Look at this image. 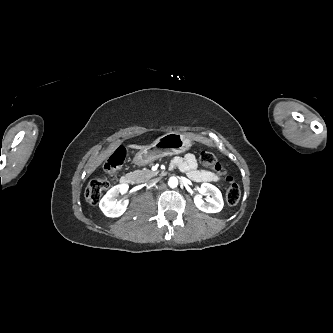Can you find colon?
Masks as SVG:
<instances>
[{"label": "colon", "mask_w": 333, "mask_h": 333, "mask_svg": "<svg viewBox=\"0 0 333 333\" xmlns=\"http://www.w3.org/2000/svg\"><path fill=\"white\" fill-rule=\"evenodd\" d=\"M126 158V150L124 147H118L112 152L104 165L105 173L109 177L115 176L124 166ZM200 162L203 166L210 169L215 175L223 177L226 182L225 198L226 202L234 206L238 203L241 191L233 177L229 175L224 166L218 161L216 156L209 152L203 151L200 153ZM110 187L108 178L96 179L90 182L86 189V199L91 204H97L102 195Z\"/></svg>", "instance_id": "obj_1"}]
</instances>
